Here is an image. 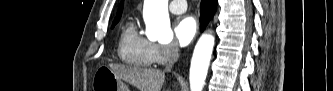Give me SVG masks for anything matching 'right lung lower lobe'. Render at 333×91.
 <instances>
[{"mask_svg":"<svg viewBox=\"0 0 333 91\" xmlns=\"http://www.w3.org/2000/svg\"><path fill=\"white\" fill-rule=\"evenodd\" d=\"M217 8V0H201L200 25L201 30L207 26L213 18Z\"/></svg>","mask_w":333,"mask_h":91,"instance_id":"1","label":"right lung lower lobe"}]
</instances>
